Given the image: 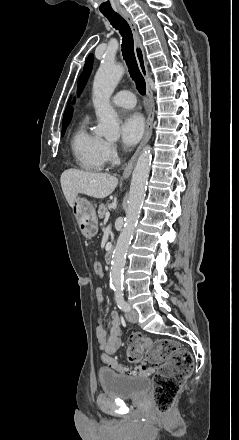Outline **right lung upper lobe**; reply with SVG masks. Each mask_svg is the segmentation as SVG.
I'll return each mask as SVG.
<instances>
[{"label":"right lung upper lobe","instance_id":"1","mask_svg":"<svg viewBox=\"0 0 239 440\" xmlns=\"http://www.w3.org/2000/svg\"><path fill=\"white\" fill-rule=\"evenodd\" d=\"M71 117H72V108L68 106L64 112V118L62 122L63 127L69 124Z\"/></svg>","mask_w":239,"mask_h":440}]
</instances>
